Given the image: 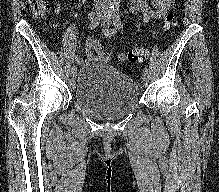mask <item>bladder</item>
Segmentation results:
<instances>
[{"instance_id": "1", "label": "bladder", "mask_w": 219, "mask_h": 192, "mask_svg": "<svg viewBox=\"0 0 219 192\" xmlns=\"http://www.w3.org/2000/svg\"><path fill=\"white\" fill-rule=\"evenodd\" d=\"M73 102L93 118L118 120L139 105L140 88L116 67L93 62L81 70Z\"/></svg>"}]
</instances>
